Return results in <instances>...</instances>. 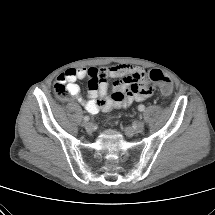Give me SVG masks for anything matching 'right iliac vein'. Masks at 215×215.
<instances>
[{
    "instance_id": "right-iliac-vein-1",
    "label": "right iliac vein",
    "mask_w": 215,
    "mask_h": 215,
    "mask_svg": "<svg viewBox=\"0 0 215 215\" xmlns=\"http://www.w3.org/2000/svg\"><path fill=\"white\" fill-rule=\"evenodd\" d=\"M84 127H85V129H86L88 132H92V131H93V129H94L93 124H92V123H90V122H86V123H84Z\"/></svg>"
}]
</instances>
